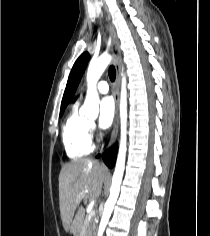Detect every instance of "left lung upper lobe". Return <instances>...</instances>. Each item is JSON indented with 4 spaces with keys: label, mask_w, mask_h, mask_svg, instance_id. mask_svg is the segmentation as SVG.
Returning a JSON list of instances; mask_svg holds the SVG:
<instances>
[{
    "label": "left lung upper lobe",
    "mask_w": 210,
    "mask_h": 236,
    "mask_svg": "<svg viewBox=\"0 0 210 236\" xmlns=\"http://www.w3.org/2000/svg\"><path fill=\"white\" fill-rule=\"evenodd\" d=\"M90 55L88 52H84L75 62L69 78L67 82V86L64 92V96L62 99V104H61V113L60 115L63 114L64 109L66 106L69 104V102L72 100L75 91L77 89V86L81 80V77L83 75V72L87 66V63L89 61Z\"/></svg>",
    "instance_id": "left-lung-upper-lobe-1"
}]
</instances>
